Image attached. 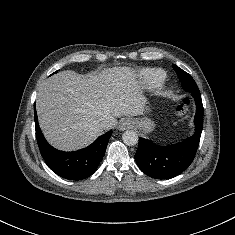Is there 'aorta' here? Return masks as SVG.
Returning <instances> with one entry per match:
<instances>
[{
    "label": "aorta",
    "instance_id": "obj_1",
    "mask_svg": "<svg viewBox=\"0 0 235 235\" xmlns=\"http://www.w3.org/2000/svg\"><path fill=\"white\" fill-rule=\"evenodd\" d=\"M123 142L128 146H134L138 143V134L135 131L127 130L122 135Z\"/></svg>",
    "mask_w": 235,
    "mask_h": 235
}]
</instances>
